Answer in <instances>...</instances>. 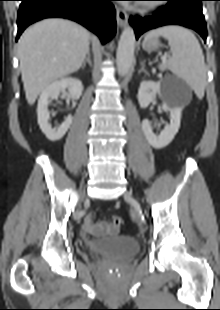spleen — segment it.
Returning <instances> with one entry per match:
<instances>
[{"label": "spleen", "mask_w": 220, "mask_h": 310, "mask_svg": "<svg viewBox=\"0 0 220 310\" xmlns=\"http://www.w3.org/2000/svg\"><path fill=\"white\" fill-rule=\"evenodd\" d=\"M158 36L168 40L172 51V56L160 68L171 70L194 90L198 98H202L206 84V65L198 39L190 30L174 25L152 30L145 39Z\"/></svg>", "instance_id": "3e777b00"}]
</instances>
